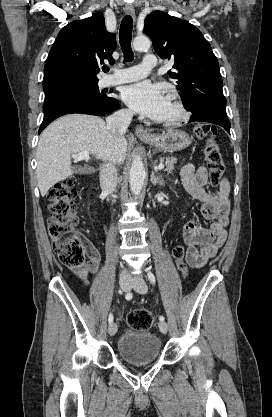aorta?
Returning <instances> with one entry per match:
<instances>
[{"mask_svg": "<svg viewBox=\"0 0 272 417\" xmlns=\"http://www.w3.org/2000/svg\"><path fill=\"white\" fill-rule=\"evenodd\" d=\"M150 46L151 42L146 36H137L133 41V47L136 51H147ZM145 176L146 173L142 159L139 155H136L133 158L129 173V184L133 195L138 196L141 193Z\"/></svg>", "mask_w": 272, "mask_h": 417, "instance_id": "1", "label": "aorta"}]
</instances>
